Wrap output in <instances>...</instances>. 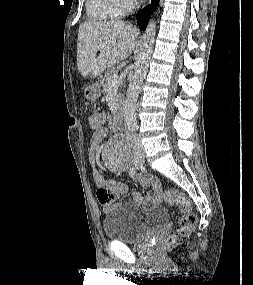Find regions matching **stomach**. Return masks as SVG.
<instances>
[{"label":"stomach","instance_id":"1","mask_svg":"<svg viewBox=\"0 0 253 285\" xmlns=\"http://www.w3.org/2000/svg\"><path fill=\"white\" fill-rule=\"evenodd\" d=\"M101 95L100 85L95 83L84 90V96L89 100H95Z\"/></svg>","mask_w":253,"mask_h":285}]
</instances>
